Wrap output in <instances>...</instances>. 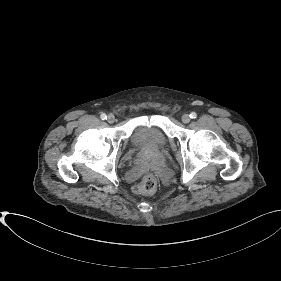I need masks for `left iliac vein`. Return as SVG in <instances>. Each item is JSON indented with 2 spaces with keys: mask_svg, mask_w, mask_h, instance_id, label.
<instances>
[{
  "mask_svg": "<svg viewBox=\"0 0 281 281\" xmlns=\"http://www.w3.org/2000/svg\"><path fill=\"white\" fill-rule=\"evenodd\" d=\"M190 120H191L190 115L184 114V115L182 116V122H183V123L187 124V123L190 122Z\"/></svg>",
  "mask_w": 281,
  "mask_h": 281,
  "instance_id": "left-iliac-vein-1",
  "label": "left iliac vein"
}]
</instances>
